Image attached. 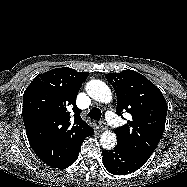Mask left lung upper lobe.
<instances>
[{
    "instance_id": "5c2ea615",
    "label": "left lung upper lobe",
    "mask_w": 187,
    "mask_h": 187,
    "mask_svg": "<svg viewBox=\"0 0 187 187\" xmlns=\"http://www.w3.org/2000/svg\"><path fill=\"white\" fill-rule=\"evenodd\" d=\"M106 79L117 96L118 116H132L127 124L115 129L117 144L125 150L149 158L165 128L167 104L162 92L145 76L133 70L109 73Z\"/></svg>"
}]
</instances>
